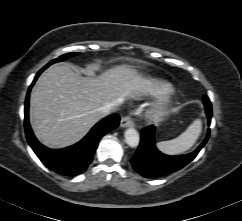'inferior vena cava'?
Here are the masks:
<instances>
[{"label": "inferior vena cava", "instance_id": "inferior-vena-cava-1", "mask_svg": "<svg viewBox=\"0 0 242 221\" xmlns=\"http://www.w3.org/2000/svg\"><path fill=\"white\" fill-rule=\"evenodd\" d=\"M118 104L117 102H112V103H106L105 105L101 106L99 108V110L103 113V114H109L113 111L116 110Z\"/></svg>", "mask_w": 242, "mask_h": 221}]
</instances>
